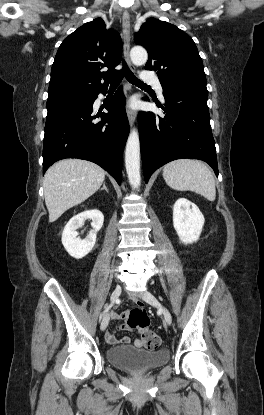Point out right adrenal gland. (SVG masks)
Returning <instances> with one entry per match:
<instances>
[{"label": "right adrenal gland", "mask_w": 264, "mask_h": 415, "mask_svg": "<svg viewBox=\"0 0 264 415\" xmlns=\"http://www.w3.org/2000/svg\"><path fill=\"white\" fill-rule=\"evenodd\" d=\"M101 190H105L106 192H109V190L107 189L105 183L103 184V187L101 188Z\"/></svg>", "instance_id": "obj_1"}]
</instances>
